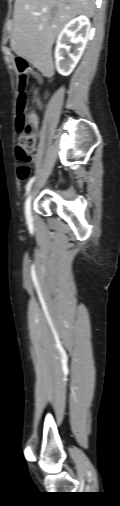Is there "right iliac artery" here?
I'll list each match as a JSON object with an SVG mask.
<instances>
[{
    "label": "right iliac artery",
    "instance_id": "right-iliac-artery-1",
    "mask_svg": "<svg viewBox=\"0 0 120 506\" xmlns=\"http://www.w3.org/2000/svg\"><path fill=\"white\" fill-rule=\"evenodd\" d=\"M33 181H34V177H32V178L28 181V183H27V185H26V193H28V192H29V190H30V188H31V186H32Z\"/></svg>",
    "mask_w": 120,
    "mask_h": 506
}]
</instances>
